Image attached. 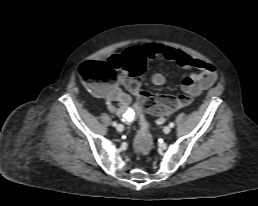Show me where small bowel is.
Listing matches in <instances>:
<instances>
[{
	"label": "small bowel",
	"mask_w": 258,
	"mask_h": 206,
	"mask_svg": "<svg viewBox=\"0 0 258 206\" xmlns=\"http://www.w3.org/2000/svg\"><path fill=\"white\" fill-rule=\"evenodd\" d=\"M136 53L142 54L146 59H164L175 62L185 69H195L196 71L185 77L181 83L182 90L190 96H198L204 90L210 88L217 80L216 68L211 63L193 58L181 50L161 43H148L141 47H130L120 54L112 55L108 59V62L119 68L127 58ZM165 81L166 78L161 73H156L151 78V82L155 86H161ZM99 94L106 100L110 112L128 122L133 120L136 113L134 110L130 109L131 99L118 85L101 87ZM164 120V117L161 116L157 119V123L161 124Z\"/></svg>",
	"instance_id": "c3829d8e"
}]
</instances>
